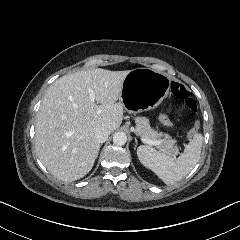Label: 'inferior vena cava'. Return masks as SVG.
Instances as JSON below:
<instances>
[{
    "instance_id": "obj_1",
    "label": "inferior vena cava",
    "mask_w": 240,
    "mask_h": 240,
    "mask_svg": "<svg viewBox=\"0 0 240 240\" xmlns=\"http://www.w3.org/2000/svg\"><path fill=\"white\" fill-rule=\"evenodd\" d=\"M110 135V131L107 129H99L96 134V141L99 143H104L108 136Z\"/></svg>"
}]
</instances>
